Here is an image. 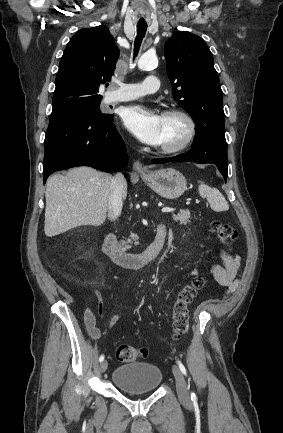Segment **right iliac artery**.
Returning <instances> with one entry per match:
<instances>
[{
	"instance_id": "82829eb1",
	"label": "right iliac artery",
	"mask_w": 283,
	"mask_h": 433,
	"mask_svg": "<svg viewBox=\"0 0 283 433\" xmlns=\"http://www.w3.org/2000/svg\"><path fill=\"white\" fill-rule=\"evenodd\" d=\"M104 360V355H101L99 361L102 362Z\"/></svg>"
}]
</instances>
